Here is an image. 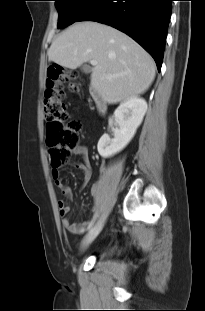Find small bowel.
Masks as SVG:
<instances>
[{
	"instance_id": "1",
	"label": "small bowel",
	"mask_w": 205,
	"mask_h": 311,
	"mask_svg": "<svg viewBox=\"0 0 205 311\" xmlns=\"http://www.w3.org/2000/svg\"><path fill=\"white\" fill-rule=\"evenodd\" d=\"M76 156H80L82 160L74 164V167L83 171L84 173V182L88 183L93 175L91 161L88 156V149L85 145H79L72 152ZM53 179L55 181L56 186L60 190L61 194L68 199L72 198V191L69 185L60 177V174L57 170H53L52 172ZM98 187L97 185H93L91 187V194L94 196L97 193ZM59 214L62 217V225L63 227L71 233L81 234L83 233L90 225L91 221H84L81 223L72 222L67 218L69 214L70 207L68 203L64 200H59L58 203Z\"/></svg>"
}]
</instances>
